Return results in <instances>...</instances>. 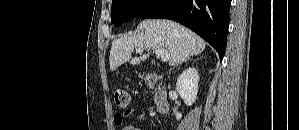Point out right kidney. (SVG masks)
Wrapping results in <instances>:
<instances>
[{
  "label": "right kidney",
  "instance_id": "obj_1",
  "mask_svg": "<svg viewBox=\"0 0 299 130\" xmlns=\"http://www.w3.org/2000/svg\"><path fill=\"white\" fill-rule=\"evenodd\" d=\"M199 75L195 68L184 70L177 79L176 89L187 106L193 105L198 93ZM176 119L180 120L182 114L175 112Z\"/></svg>",
  "mask_w": 299,
  "mask_h": 130
}]
</instances>
